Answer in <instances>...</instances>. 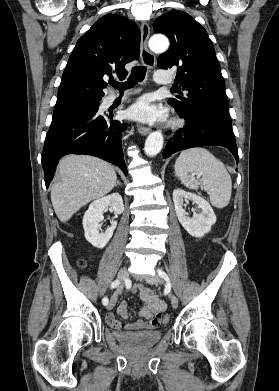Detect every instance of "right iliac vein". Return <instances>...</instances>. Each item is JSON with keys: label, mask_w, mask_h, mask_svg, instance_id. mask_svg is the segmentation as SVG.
<instances>
[{"label": "right iliac vein", "mask_w": 279, "mask_h": 391, "mask_svg": "<svg viewBox=\"0 0 279 391\" xmlns=\"http://www.w3.org/2000/svg\"><path fill=\"white\" fill-rule=\"evenodd\" d=\"M127 275H128V271H127V268H125V267L121 268L120 271L118 272L117 278H118V281L120 282V285H119L118 289L116 290V292L114 293V295L110 299V302L107 306L108 310H111L115 306L117 297L122 291V287H123L125 279L127 278Z\"/></svg>", "instance_id": "1"}]
</instances>
